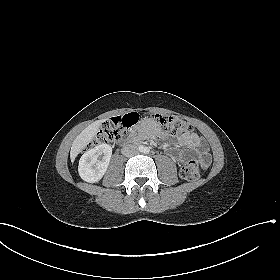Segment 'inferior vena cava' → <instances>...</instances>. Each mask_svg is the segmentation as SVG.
I'll return each instance as SVG.
<instances>
[{
	"instance_id": "inferior-vena-cava-1",
	"label": "inferior vena cava",
	"mask_w": 280,
	"mask_h": 280,
	"mask_svg": "<svg viewBox=\"0 0 280 280\" xmlns=\"http://www.w3.org/2000/svg\"><path fill=\"white\" fill-rule=\"evenodd\" d=\"M121 152L124 156L129 157V156H132V155H136L138 153V149L134 145H126L122 148Z\"/></svg>"
}]
</instances>
